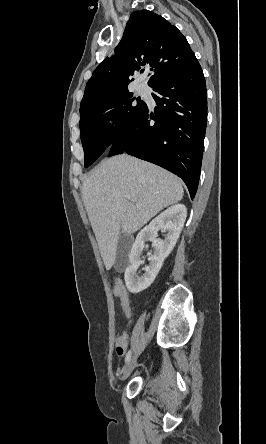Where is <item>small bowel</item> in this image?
<instances>
[{
	"label": "small bowel",
	"mask_w": 266,
	"mask_h": 444,
	"mask_svg": "<svg viewBox=\"0 0 266 444\" xmlns=\"http://www.w3.org/2000/svg\"><path fill=\"white\" fill-rule=\"evenodd\" d=\"M113 293L117 296L122 305V309L127 318H131L132 310L130 306L129 293L124 286L123 282L119 279H116L113 283ZM129 341V334L126 331H123L116 339V347L118 354H123Z\"/></svg>",
	"instance_id": "c3829d8e"
}]
</instances>
